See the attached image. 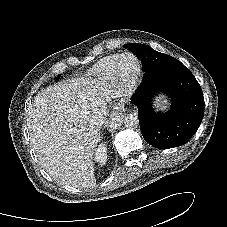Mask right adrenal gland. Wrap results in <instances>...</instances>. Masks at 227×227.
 Returning a JSON list of instances; mask_svg holds the SVG:
<instances>
[{
    "mask_svg": "<svg viewBox=\"0 0 227 227\" xmlns=\"http://www.w3.org/2000/svg\"><path fill=\"white\" fill-rule=\"evenodd\" d=\"M101 138H102V135H101V133H99V140H101Z\"/></svg>",
    "mask_w": 227,
    "mask_h": 227,
    "instance_id": "obj_1",
    "label": "right adrenal gland"
}]
</instances>
